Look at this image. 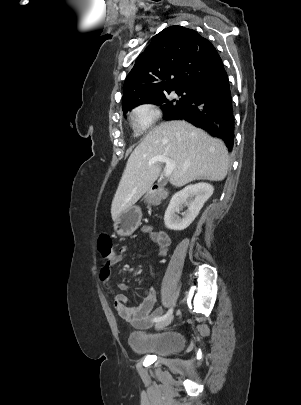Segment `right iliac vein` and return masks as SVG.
<instances>
[{"mask_svg": "<svg viewBox=\"0 0 301 405\" xmlns=\"http://www.w3.org/2000/svg\"><path fill=\"white\" fill-rule=\"evenodd\" d=\"M172 319H173V317L170 316V317H168V318H166V319H164V320H162V321L157 322V323L155 324V328H156V329H163V328H165L166 326H168V325L171 323Z\"/></svg>", "mask_w": 301, "mask_h": 405, "instance_id": "obj_1", "label": "right iliac vein"}]
</instances>
